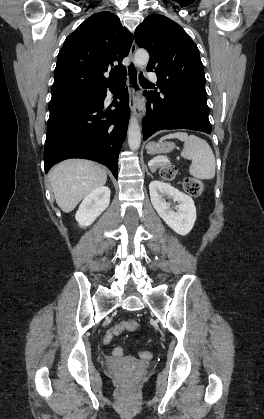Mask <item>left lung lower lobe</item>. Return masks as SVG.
I'll return each instance as SVG.
<instances>
[{"instance_id": "1", "label": "left lung lower lobe", "mask_w": 264, "mask_h": 419, "mask_svg": "<svg viewBox=\"0 0 264 419\" xmlns=\"http://www.w3.org/2000/svg\"><path fill=\"white\" fill-rule=\"evenodd\" d=\"M160 92L144 91L147 96V114L143 120V140L164 129H190L211 133L208 119L205 86L188 89L175 84L165 88L157 82Z\"/></svg>"}]
</instances>
